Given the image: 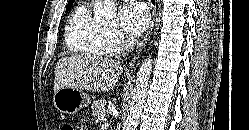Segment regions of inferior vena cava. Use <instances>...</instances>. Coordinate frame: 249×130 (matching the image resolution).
<instances>
[{
    "instance_id": "inferior-vena-cava-1",
    "label": "inferior vena cava",
    "mask_w": 249,
    "mask_h": 130,
    "mask_svg": "<svg viewBox=\"0 0 249 130\" xmlns=\"http://www.w3.org/2000/svg\"><path fill=\"white\" fill-rule=\"evenodd\" d=\"M134 45H135V41L133 38H129L128 40H126L123 46V50H124L123 55H125L126 52H129L130 50H132L134 48Z\"/></svg>"
}]
</instances>
